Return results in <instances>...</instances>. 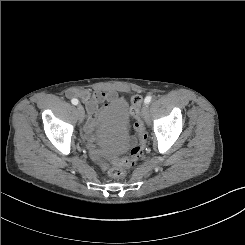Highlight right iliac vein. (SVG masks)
I'll list each match as a JSON object with an SVG mask.
<instances>
[{"label":"right iliac vein","mask_w":245,"mask_h":245,"mask_svg":"<svg viewBox=\"0 0 245 245\" xmlns=\"http://www.w3.org/2000/svg\"><path fill=\"white\" fill-rule=\"evenodd\" d=\"M79 122L82 123L85 117V111L81 104L77 106Z\"/></svg>","instance_id":"right-iliac-vein-1"}]
</instances>
